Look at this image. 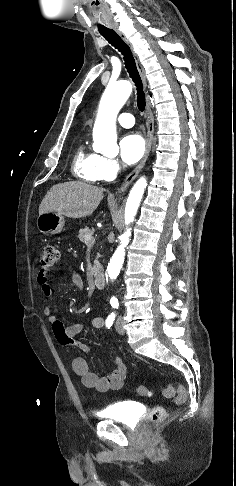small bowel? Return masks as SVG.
Here are the masks:
<instances>
[{
    "mask_svg": "<svg viewBox=\"0 0 236 486\" xmlns=\"http://www.w3.org/2000/svg\"><path fill=\"white\" fill-rule=\"evenodd\" d=\"M73 283L79 288H84V281L75 272L71 274ZM37 282L41 287L43 295L47 298L52 296V287L47 277V271L40 270L37 276ZM44 314L48 317L52 325L54 334L61 345H74L79 347L84 352H89V348L77 341L75 338L83 331L82 323H73L65 326L59 318H57L52 311L50 305L44 307ZM104 318L96 317L92 320V326L100 329L104 326ZM73 371L81 378L82 384L87 388L95 389L98 392H107L109 390H118L122 388L126 377V366L124 362L115 358L112 362L111 369L104 376H99L95 372L90 371L87 361L82 357H76L72 361Z\"/></svg>",
    "mask_w": 236,
    "mask_h": 486,
    "instance_id": "1",
    "label": "small bowel"
}]
</instances>
